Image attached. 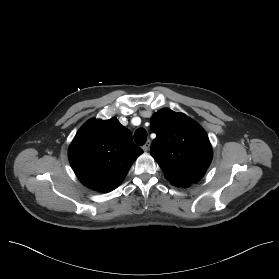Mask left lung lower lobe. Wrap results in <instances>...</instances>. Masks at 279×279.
Instances as JSON below:
<instances>
[{
	"label": "left lung lower lobe",
	"instance_id": "obj_1",
	"mask_svg": "<svg viewBox=\"0 0 279 279\" xmlns=\"http://www.w3.org/2000/svg\"><path fill=\"white\" fill-rule=\"evenodd\" d=\"M170 183L174 186H177V187H188L190 186L191 184L189 183H186V182H179V181H170Z\"/></svg>",
	"mask_w": 279,
	"mask_h": 279
}]
</instances>
